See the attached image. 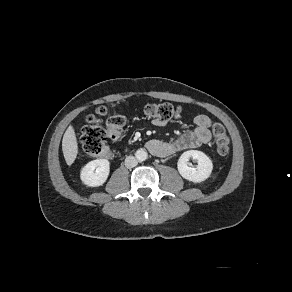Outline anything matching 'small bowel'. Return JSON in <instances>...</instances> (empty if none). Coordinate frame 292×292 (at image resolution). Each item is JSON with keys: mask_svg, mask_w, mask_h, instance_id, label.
Segmentation results:
<instances>
[{"mask_svg": "<svg viewBox=\"0 0 292 292\" xmlns=\"http://www.w3.org/2000/svg\"><path fill=\"white\" fill-rule=\"evenodd\" d=\"M211 123V119L207 115L198 114L194 118L195 127L192 130L182 133L172 141L153 139L148 143V148L152 154L160 157H167L187 149L198 148L211 141ZM153 124L161 127L166 122L154 119Z\"/></svg>", "mask_w": 292, "mask_h": 292, "instance_id": "small-bowel-1", "label": "small bowel"}]
</instances>
